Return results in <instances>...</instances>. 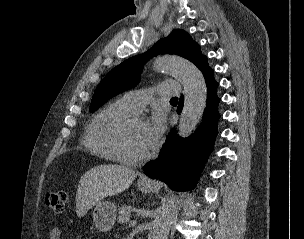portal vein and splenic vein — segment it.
Instances as JSON below:
<instances>
[{
	"mask_svg": "<svg viewBox=\"0 0 304 239\" xmlns=\"http://www.w3.org/2000/svg\"><path fill=\"white\" fill-rule=\"evenodd\" d=\"M130 225H131V226H135V225H136V221H135V220H132V221L130 222Z\"/></svg>",
	"mask_w": 304,
	"mask_h": 239,
	"instance_id": "portal-vein-and-splenic-vein-1",
	"label": "portal vein and splenic vein"
}]
</instances>
